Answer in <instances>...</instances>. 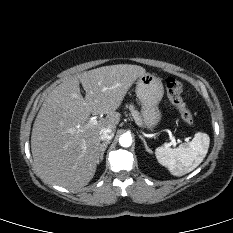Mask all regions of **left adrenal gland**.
<instances>
[{"mask_svg": "<svg viewBox=\"0 0 233 233\" xmlns=\"http://www.w3.org/2000/svg\"><path fill=\"white\" fill-rule=\"evenodd\" d=\"M139 137L143 141L146 151L151 153V149L148 147L146 140L141 135Z\"/></svg>", "mask_w": 233, "mask_h": 233, "instance_id": "a2214340", "label": "left adrenal gland"}]
</instances>
